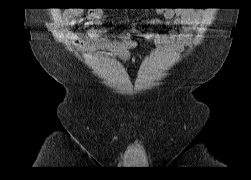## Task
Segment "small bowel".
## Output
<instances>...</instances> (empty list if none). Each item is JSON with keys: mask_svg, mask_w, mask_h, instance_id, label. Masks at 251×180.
<instances>
[{"mask_svg": "<svg viewBox=\"0 0 251 180\" xmlns=\"http://www.w3.org/2000/svg\"><path fill=\"white\" fill-rule=\"evenodd\" d=\"M162 20H155V23H164L168 25L180 26L178 31L169 33L149 32L144 34L146 39L164 48L181 47L188 44L192 39V32L201 21L200 12L192 9H165L159 12ZM105 12L102 9H92L85 14L79 10H66L63 13V23L66 25H74L82 21L88 25L100 24ZM103 31L92 28L87 34L89 43L103 50H110L122 58H127L129 51L134 48L136 42L130 34H123L119 40H110L103 37ZM65 35L68 39L76 40L77 34L73 31H66Z\"/></svg>", "mask_w": 251, "mask_h": 180, "instance_id": "c3829d8e", "label": "small bowel"}]
</instances>
